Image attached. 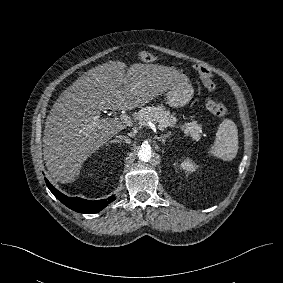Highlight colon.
<instances>
[{
    "label": "colon",
    "mask_w": 283,
    "mask_h": 283,
    "mask_svg": "<svg viewBox=\"0 0 283 283\" xmlns=\"http://www.w3.org/2000/svg\"><path fill=\"white\" fill-rule=\"evenodd\" d=\"M138 56L144 62H152L156 59L155 55L148 51H141L139 52ZM206 108L213 115L221 119L225 118L228 115L226 107L219 102L208 101L206 104Z\"/></svg>",
    "instance_id": "colon-1"
}]
</instances>
